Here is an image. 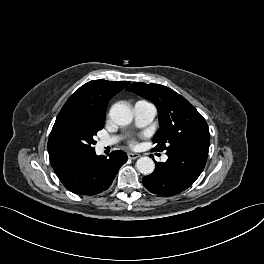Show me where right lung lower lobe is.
Wrapping results in <instances>:
<instances>
[{
	"mask_svg": "<svg viewBox=\"0 0 264 264\" xmlns=\"http://www.w3.org/2000/svg\"><path fill=\"white\" fill-rule=\"evenodd\" d=\"M128 160L125 152L117 150L109 155L94 152L72 156L51 163L62 184L80 195H96L107 190L120 167Z\"/></svg>",
	"mask_w": 264,
	"mask_h": 264,
	"instance_id": "right-lung-lower-lobe-1",
	"label": "right lung lower lobe"
}]
</instances>
